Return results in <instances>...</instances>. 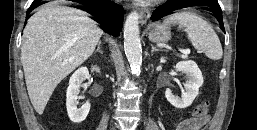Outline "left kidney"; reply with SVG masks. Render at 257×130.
Here are the masks:
<instances>
[{
  "label": "left kidney",
  "instance_id": "5707ae66",
  "mask_svg": "<svg viewBox=\"0 0 257 130\" xmlns=\"http://www.w3.org/2000/svg\"><path fill=\"white\" fill-rule=\"evenodd\" d=\"M176 70L186 75L182 96H175L170 89H166L165 97L176 108H186L192 104L203 84L202 72L192 60L181 61L176 64Z\"/></svg>",
  "mask_w": 257,
  "mask_h": 130
}]
</instances>
